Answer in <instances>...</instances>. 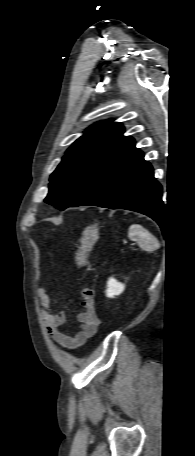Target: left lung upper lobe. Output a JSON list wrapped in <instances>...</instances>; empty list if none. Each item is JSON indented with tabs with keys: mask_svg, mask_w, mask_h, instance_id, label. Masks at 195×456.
Wrapping results in <instances>:
<instances>
[{
	"mask_svg": "<svg viewBox=\"0 0 195 456\" xmlns=\"http://www.w3.org/2000/svg\"><path fill=\"white\" fill-rule=\"evenodd\" d=\"M121 123L98 122L66 151L50 177L45 202L64 210L81 206L111 175L134 139Z\"/></svg>",
	"mask_w": 195,
	"mask_h": 456,
	"instance_id": "1",
	"label": "left lung upper lobe"
}]
</instances>
